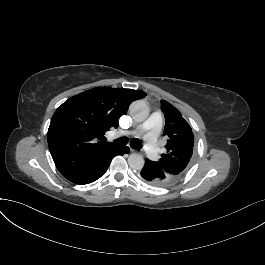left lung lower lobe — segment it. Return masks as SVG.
I'll return each instance as SVG.
<instances>
[{"label": "left lung lower lobe", "instance_id": "obj_1", "mask_svg": "<svg viewBox=\"0 0 265 265\" xmlns=\"http://www.w3.org/2000/svg\"><path fill=\"white\" fill-rule=\"evenodd\" d=\"M140 175L145 182L155 186H167L174 183L158 164L149 159H145Z\"/></svg>", "mask_w": 265, "mask_h": 265}]
</instances>
